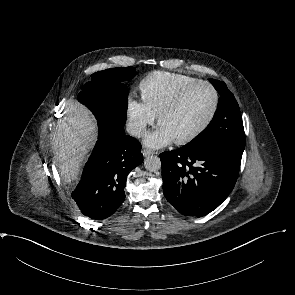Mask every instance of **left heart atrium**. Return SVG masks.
<instances>
[{
	"label": "left heart atrium",
	"instance_id": "39dd6f15",
	"mask_svg": "<svg viewBox=\"0 0 295 295\" xmlns=\"http://www.w3.org/2000/svg\"><path fill=\"white\" fill-rule=\"evenodd\" d=\"M175 141L174 135L163 125L147 134L144 143L151 148H161Z\"/></svg>",
	"mask_w": 295,
	"mask_h": 295
}]
</instances>
